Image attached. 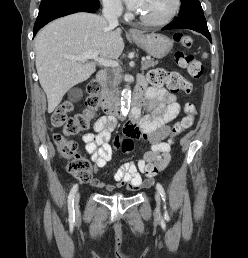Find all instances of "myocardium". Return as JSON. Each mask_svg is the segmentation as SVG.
Wrapping results in <instances>:
<instances>
[{
	"label": "myocardium",
	"mask_w": 248,
	"mask_h": 258,
	"mask_svg": "<svg viewBox=\"0 0 248 258\" xmlns=\"http://www.w3.org/2000/svg\"><path fill=\"white\" fill-rule=\"evenodd\" d=\"M180 7H181V0H174V8L167 17H165L161 20H149V19H146L145 17L139 15L138 18L144 25H147L150 27L164 26V25L169 24L171 21H173V19L179 13Z\"/></svg>",
	"instance_id": "1"
}]
</instances>
